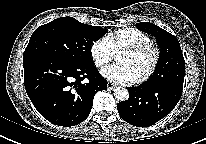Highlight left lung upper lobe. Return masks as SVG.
Segmentation results:
<instances>
[{"label":"left lung upper lobe","mask_w":206,"mask_h":144,"mask_svg":"<svg viewBox=\"0 0 206 144\" xmlns=\"http://www.w3.org/2000/svg\"><path fill=\"white\" fill-rule=\"evenodd\" d=\"M137 28L143 32L153 35L160 48V56L156 70L146 81L147 83H158L167 73L174 69H185V60L177 38L150 22H141Z\"/></svg>","instance_id":"1"}]
</instances>
